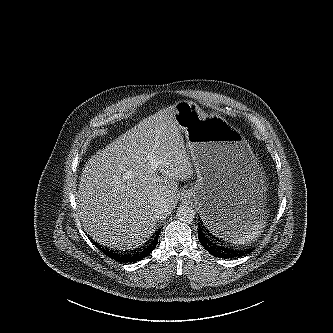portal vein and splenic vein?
Listing matches in <instances>:
<instances>
[{"label":"portal vein and splenic vein","mask_w":333,"mask_h":333,"mask_svg":"<svg viewBox=\"0 0 333 333\" xmlns=\"http://www.w3.org/2000/svg\"><path fill=\"white\" fill-rule=\"evenodd\" d=\"M157 164H158L157 162H154V163H153V166H154V167H156V166H157Z\"/></svg>","instance_id":"1"}]
</instances>
